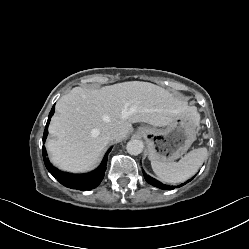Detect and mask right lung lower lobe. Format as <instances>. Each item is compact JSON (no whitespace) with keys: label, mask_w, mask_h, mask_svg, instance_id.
I'll use <instances>...</instances> for the list:
<instances>
[{"label":"right lung lower lobe","mask_w":249,"mask_h":249,"mask_svg":"<svg viewBox=\"0 0 249 249\" xmlns=\"http://www.w3.org/2000/svg\"><path fill=\"white\" fill-rule=\"evenodd\" d=\"M54 110H55V107L53 106L49 114L48 121H47L45 130H44L43 142H45L46 140V137L48 134V131H47L48 125H49L52 115L54 114ZM110 151L111 149L108 150L101 165L96 170H94L91 173L83 174V175H74V174L64 173L58 170L57 168L53 167L47 158V152L44 146H43V159H44L46 168L54 176V178L58 180V182H60L62 185L68 188L84 191V190H91L97 187L101 183L105 175L107 158H108V154Z\"/></svg>","instance_id":"right-lung-lower-lobe-1"}]
</instances>
